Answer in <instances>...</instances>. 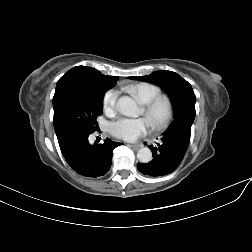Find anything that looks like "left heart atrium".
Masks as SVG:
<instances>
[{"label":"left heart atrium","mask_w":252,"mask_h":252,"mask_svg":"<svg viewBox=\"0 0 252 252\" xmlns=\"http://www.w3.org/2000/svg\"><path fill=\"white\" fill-rule=\"evenodd\" d=\"M148 125L147 118H121L111 124L110 131L117 138L134 141L146 132Z\"/></svg>","instance_id":"39dd6f15"}]
</instances>
